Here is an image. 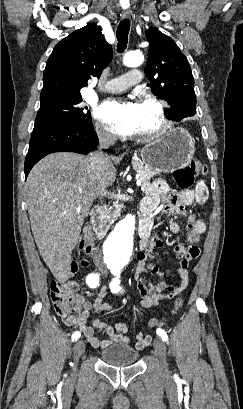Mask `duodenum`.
I'll list each match as a JSON object with an SVG mask.
<instances>
[{
	"instance_id": "1",
	"label": "duodenum",
	"mask_w": 243,
	"mask_h": 409,
	"mask_svg": "<svg viewBox=\"0 0 243 409\" xmlns=\"http://www.w3.org/2000/svg\"><path fill=\"white\" fill-rule=\"evenodd\" d=\"M148 209H142V218L139 224V235L142 240L147 239L152 231V216ZM91 224L96 235L102 238L105 235L108 226L105 220V207L103 205L95 206L91 211Z\"/></svg>"
}]
</instances>
